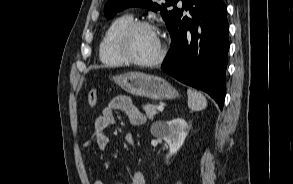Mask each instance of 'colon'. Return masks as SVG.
Listing matches in <instances>:
<instances>
[{"mask_svg": "<svg viewBox=\"0 0 293 184\" xmlns=\"http://www.w3.org/2000/svg\"><path fill=\"white\" fill-rule=\"evenodd\" d=\"M98 92L94 88L88 94V104L91 108L95 107L97 104Z\"/></svg>", "mask_w": 293, "mask_h": 184, "instance_id": "1", "label": "colon"}]
</instances>
